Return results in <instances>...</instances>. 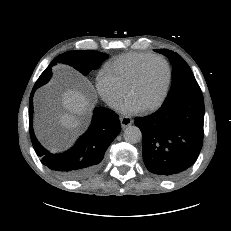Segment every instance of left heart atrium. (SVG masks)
Returning <instances> with one entry per match:
<instances>
[{
  "label": "left heart atrium",
  "mask_w": 231,
  "mask_h": 231,
  "mask_svg": "<svg viewBox=\"0 0 231 231\" xmlns=\"http://www.w3.org/2000/svg\"><path fill=\"white\" fill-rule=\"evenodd\" d=\"M120 110L125 114H133L141 111L142 107L128 97V99L121 104Z\"/></svg>",
  "instance_id": "obj_1"
}]
</instances>
